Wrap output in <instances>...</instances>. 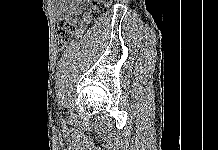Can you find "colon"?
Returning <instances> with one entry per match:
<instances>
[{"label": "colon", "mask_w": 218, "mask_h": 150, "mask_svg": "<svg viewBox=\"0 0 218 150\" xmlns=\"http://www.w3.org/2000/svg\"><path fill=\"white\" fill-rule=\"evenodd\" d=\"M112 5V0H94L90 10L89 17L97 19L100 16L106 14ZM79 25L78 18L73 16L68 19H62L59 22L56 30V46L58 49H63L69 40L72 38Z\"/></svg>", "instance_id": "5ec220e1"}]
</instances>
